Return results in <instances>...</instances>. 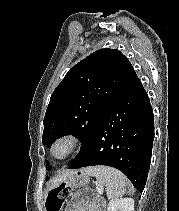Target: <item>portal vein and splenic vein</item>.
Masks as SVG:
<instances>
[{
	"label": "portal vein and splenic vein",
	"instance_id": "18ae733b",
	"mask_svg": "<svg viewBox=\"0 0 179 211\" xmlns=\"http://www.w3.org/2000/svg\"><path fill=\"white\" fill-rule=\"evenodd\" d=\"M97 192L98 193H102V189L101 188H97Z\"/></svg>",
	"mask_w": 179,
	"mask_h": 211
}]
</instances>
